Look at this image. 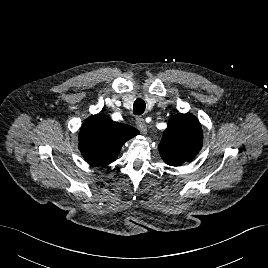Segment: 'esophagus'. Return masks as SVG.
<instances>
[{
    "label": "esophagus",
    "instance_id": "1",
    "mask_svg": "<svg viewBox=\"0 0 268 268\" xmlns=\"http://www.w3.org/2000/svg\"><path fill=\"white\" fill-rule=\"evenodd\" d=\"M136 125L143 135H147V125L142 117L136 118Z\"/></svg>",
    "mask_w": 268,
    "mask_h": 268
}]
</instances>
